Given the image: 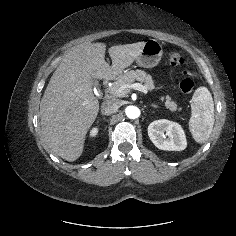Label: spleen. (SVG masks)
<instances>
[{
	"label": "spleen",
	"mask_w": 236,
	"mask_h": 236,
	"mask_svg": "<svg viewBox=\"0 0 236 236\" xmlns=\"http://www.w3.org/2000/svg\"><path fill=\"white\" fill-rule=\"evenodd\" d=\"M214 103L211 93L206 87L195 90L191 100L190 132L198 143H204L213 130Z\"/></svg>",
	"instance_id": "1"
}]
</instances>
